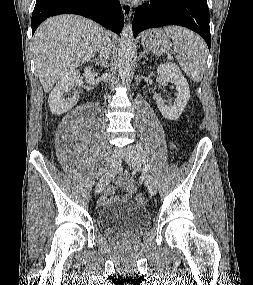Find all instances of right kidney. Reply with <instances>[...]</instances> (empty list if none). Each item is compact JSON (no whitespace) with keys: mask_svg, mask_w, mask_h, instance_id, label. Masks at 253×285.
<instances>
[{"mask_svg":"<svg viewBox=\"0 0 253 285\" xmlns=\"http://www.w3.org/2000/svg\"><path fill=\"white\" fill-rule=\"evenodd\" d=\"M84 76L87 83L94 79V73L91 71V67H85ZM79 77L80 72L78 70H73L58 80L48 99L50 110L53 114L61 115L72 109L77 104L79 95H74L67 101L62 100V95L68 91L70 86L78 81Z\"/></svg>","mask_w":253,"mask_h":285,"instance_id":"ca27d5eb","label":"right kidney"}]
</instances>
